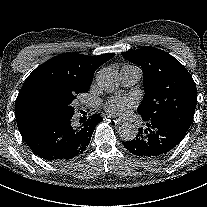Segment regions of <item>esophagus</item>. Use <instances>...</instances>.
I'll list each match as a JSON object with an SVG mask.
<instances>
[{"instance_id": "34e87169", "label": "esophagus", "mask_w": 207, "mask_h": 207, "mask_svg": "<svg viewBox=\"0 0 207 207\" xmlns=\"http://www.w3.org/2000/svg\"><path fill=\"white\" fill-rule=\"evenodd\" d=\"M104 118L106 120H108L109 126H111V127L117 126L118 121H117V119L115 117H112V116H109V115H105Z\"/></svg>"}]
</instances>
